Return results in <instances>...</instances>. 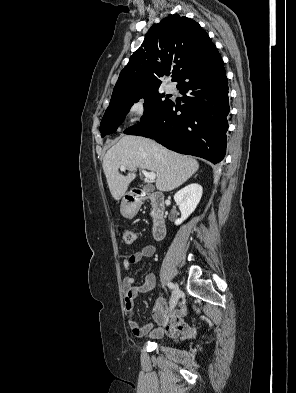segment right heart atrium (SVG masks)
Returning a JSON list of instances; mask_svg holds the SVG:
<instances>
[{
    "mask_svg": "<svg viewBox=\"0 0 296 393\" xmlns=\"http://www.w3.org/2000/svg\"><path fill=\"white\" fill-rule=\"evenodd\" d=\"M147 104L143 100H138L131 104L128 109V114L131 123H137L143 120L147 115Z\"/></svg>",
    "mask_w": 296,
    "mask_h": 393,
    "instance_id": "right-heart-atrium-1",
    "label": "right heart atrium"
}]
</instances>
